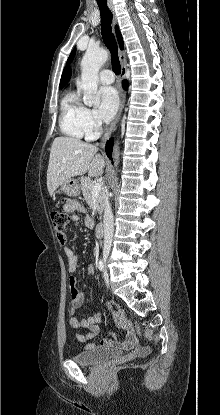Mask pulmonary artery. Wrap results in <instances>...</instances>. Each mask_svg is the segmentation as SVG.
<instances>
[{
  "label": "pulmonary artery",
  "instance_id": "obj_1",
  "mask_svg": "<svg viewBox=\"0 0 220 415\" xmlns=\"http://www.w3.org/2000/svg\"><path fill=\"white\" fill-rule=\"evenodd\" d=\"M114 79V74L110 70H102L99 74V80L102 84H112L114 82ZM91 139H94V137H92Z\"/></svg>",
  "mask_w": 220,
  "mask_h": 415
}]
</instances>
